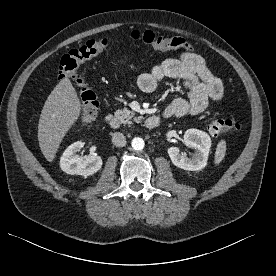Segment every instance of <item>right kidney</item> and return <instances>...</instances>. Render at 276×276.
I'll return each instance as SVG.
<instances>
[{
    "label": "right kidney",
    "instance_id": "ca27d5eb",
    "mask_svg": "<svg viewBox=\"0 0 276 276\" xmlns=\"http://www.w3.org/2000/svg\"><path fill=\"white\" fill-rule=\"evenodd\" d=\"M84 146L82 141H77L67 147L60 158V167L67 174L90 176L100 170L102 159L100 156L91 155L82 157L75 155Z\"/></svg>",
    "mask_w": 276,
    "mask_h": 276
}]
</instances>
